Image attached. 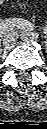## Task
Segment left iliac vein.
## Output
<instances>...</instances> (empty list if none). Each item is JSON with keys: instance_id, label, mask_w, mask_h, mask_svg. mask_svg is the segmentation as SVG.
<instances>
[{"instance_id": "obj_1", "label": "left iliac vein", "mask_w": 47, "mask_h": 129, "mask_svg": "<svg viewBox=\"0 0 47 129\" xmlns=\"http://www.w3.org/2000/svg\"><path fill=\"white\" fill-rule=\"evenodd\" d=\"M20 37L26 43L36 42L38 40L37 34L34 32L23 31L21 32Z\"/></svg>"}]
</instances>
